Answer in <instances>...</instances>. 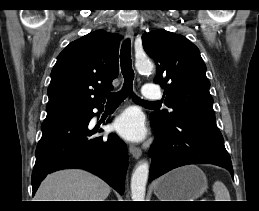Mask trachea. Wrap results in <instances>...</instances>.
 I'll list each match as a JSON object with an SVG mask.
<instances>
[{
  "mask_svg": "<svg viewBox=\"0 0 259 211\" xmlns=\"http://www.w3.org/2000/svg\"><path fill=\"white\" fill-rule=\"evenodd\" d=\"M131 43L130 40L127 39L123 42L121 46L120 52V66L121 71L124 77L123 87L119 92L116 93H107V100L108 102L120 103L123 101L127 96L132 97L135 101L139 102L140 99L136 97L133 93V80H134V71L132 68V60H131ZM144 104H160V102H149V101H142Z\"/></svg>",
  "mask_w": 259,
  "mask_h": 211,
  "instance_id": "1",
  "label": "trachea"
}]
</instances>
